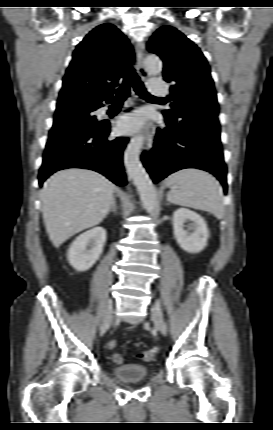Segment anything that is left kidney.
<instances>
[{"instance_id": "5707ae66", "label": "left kidney", "mask_w": 273, "mask_h": 430, "mask_svg": "<svg viewBox=\"0 0 273 430\" xmlns=\"http://www.w3.org/2000/svg\"><path fill=\"white\" fill-rule=\"evenodd\" d=\"M172 221L174 237L184 251L199 253L206 247L209 230L200 214L187 208H179L174 212Z\"/></svg>"}]
</instances>
